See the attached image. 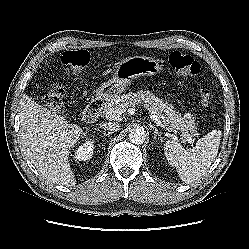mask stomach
Instances as JSON below:
<instances>
[{
    "label": "stomach",
    "instance_id": "obj_1",
    "mask_svg": "<svg viewBox=\"0 0 249 249\" xmlns=\"http://www.w3.org/2000/svg\"><path fill=\"white\" fill-rule=\"evenodd\" d=\"M162 69V65L154 58L128 57L116 64L112 78L102 83L96 95L100 99H111L124 92L134 79L144 75L158 74Z\"/></svg>",
    "mask_w": 249,
    "mask_h": 249
}]
</instances>
